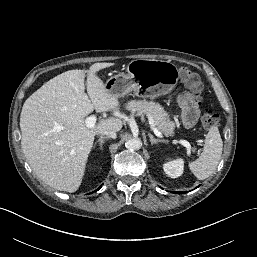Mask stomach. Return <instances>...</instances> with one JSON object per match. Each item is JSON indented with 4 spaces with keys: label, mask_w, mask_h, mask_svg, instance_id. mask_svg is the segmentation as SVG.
Here are the masks:
<instances>
[{
    "label": "stomach",
    "mask_w": 257,
    "mask_h": 257,
    "mask_svg": "<svg viewBox=\"0 0 257 257\" xmlns=\"http://www.w3.org/2000/svg\"><path fill=\"white\" fill-rule=\"evenodd\" d=\"M126 74L111 77L106 90L120 97L131 91L142 98H155L169 94L178 82L179 69L164 60L136 59L129 62Z\"/></svg>",
    "instance_id": "stomach-1"
}]
</instances>
